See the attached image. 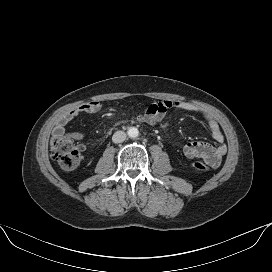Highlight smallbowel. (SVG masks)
I'll return each instance as SVG.
<instances>
[{"label":"small bowel","mask_w":272,"mask_h":272,"mask_svg":"<svg viewBox=\"0 0 272 272\" xmlns=\"http://www.w3.org/2000/svg\"><path fill=\"white\" fill-rule=\"evenodd\" d=\"M172 108H175L179 111L199 114L204 119L216 144L211 145L204 142H189L184 146L183 152L184 155L188 158L200 159L211 168H217L220 165L223 156L227 152V145L225 144L223 131L219 124L210 115L202 112L193 104L189 102L173 100L154 102L150 104L144 111L135 115L133 119L138 122L156 125L155 119L157 117L165 116ZM100 109L101 104L99 102L91 101L67 112L57 121L53 130L54 134H63L65 132L66 125L74 118L82 114H95L99 112ZM73 137L77 140H82L84 135L81 133H74Z\"/></svg>","instance_id":"1"}]
</instances>
